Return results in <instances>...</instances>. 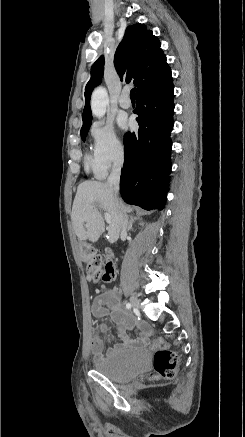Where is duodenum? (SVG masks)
<instances>
[{
    "mask_svg": "<svg viewBox=\"0 0 245 437\" xmlns=\"http://www.w3.org/2000/svg\"><path fill=\"white\" fill-rule=\"evenodd\" d=\"M107 254H108V255H111V252H110V251H107Z\"/></svg>",
    "mask_w": 245,
    "mask_h": 437,
    "instance_id": "410a0bca",
    "label": "duodenum"
}]
</instances>
